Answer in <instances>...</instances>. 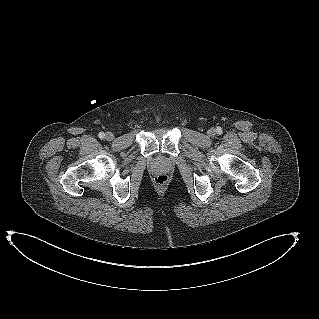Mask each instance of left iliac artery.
Returning <instances> with one entry per match:
<instances>
[{"label":"left iliac artery","instance_id":"44dca946","mask_svg":"<svg viewBox=\"0 0 319 319\" xmlns=\"http://www.w3.org/2000/svg\"><path fill=\"white\" fill-rule=\"evenodd\" d=\"M216 132H217L218 134H220V133H222V129H221L220 127H218V128L216 129Z\"/></svg>","mask_w":319,"mask_h":319}]
</instances>
